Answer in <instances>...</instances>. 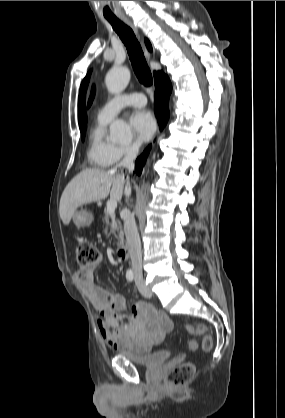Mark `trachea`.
Listing matches in <instances>:
<instances>
[{
	"label": "trachea",
	"instance_id": "trachea-1",
	"mask_svg": "<svg viewBox=\"0 0 285 418\" xmlns=\"http://www.w3.org/2000/svg\"><path fill=\"white\" fill-rule=\"evenodd\" d=\"M106 19L110 22L113 29L126 46L133 70L138 80L147 87L151 86L153 83L152 74L145 60L140 43L138 42L132 29L126 26L117 17L106 16Z\"/></svg>",
	"mask_w": 285,
	"mask_h": 418
}]
</instances>
